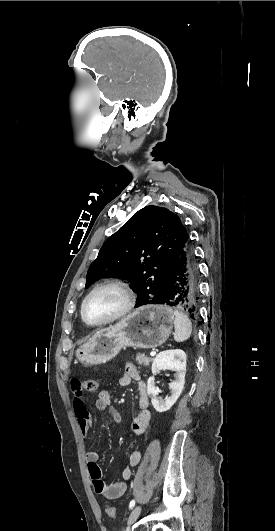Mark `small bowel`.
<instances>
[{"label":"small bowel","instance_id":"c3829d8e","mask_svg":"<svg viewBox=\"0 0 275 531\" xmlns=\"http://www.w3.org/2000/svg\"><path fill=\"white\" fill-rule=\"evenodd\" d=\"M135 380L138 382V406L139 412L131 424L132 433L135 436L148 437L152 426V415L149 409V395L146 384L142 381L138 369L132 365L127 364L124 373L118 381L119 387H127ZM68 382L71 384L69 390L72 396L77 397L82 394L83 390H78L76 384L81 382V375L79 373H70L68 375ZM111 392L109 390H101L96 399V408L100 411L108 410L114 422H120L121 414L113 406H111ZM74 413L78 418V424L81 433L86 436L92 429V421L87 412L84 400L74 401ZM142 454L140 451L133 450L128 454V465L123 467L121 472V480L113 484H106L102 479L101 468L98 464L99 453L96 450H89L85 454L87 462L88 473L92 480L95 492L105 499H117L124 495L127 490V482L132 476V466L139 464Z\"/></svg>","mask_w":275,"mask_h":531}]
</instances>
